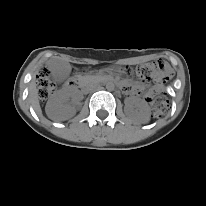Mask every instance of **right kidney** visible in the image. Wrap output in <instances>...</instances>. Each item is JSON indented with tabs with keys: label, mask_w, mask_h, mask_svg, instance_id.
I'll return each mask as SVG.
<instances>
[{
	"label": "right kidney",
	"mask_w": 206,
	"mask_h": 206,
	"mask_svg": "<svg viewBox=\"0 0 206 206\" xmlns=\"http://www.w3.org/2000/svg\"><path fill=\"white\" fill-rule=\"evenodd\" d=\"M69 98L77 100V91H59L55 93L46 104V114L53 120H66L75 115V110L67 104Z\"/></svg>",
	"instance_id": "ca27d5eb"
}]
</instances>
